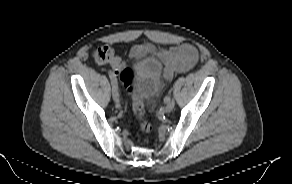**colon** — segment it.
Segmentation results:
<instances>
[{"instance_id":"1","label":"colon","mask_w":292,"mask_h":184,"mask_svg":"<svg viewBox=\"0 0 292 184\" xmlns=\"http://www.w3.org/2000/svg\"><path fill=\"white\" fill-rule=\"evenodd\" d=\"M93 57L95 61L99 64L110 63L115 58L114 51L108 46H99L93 52ZM131 75L132 70L129 68H124L120 72V79L124 86L128 89V92L132 97V106L134 113L139 121L140 130L144 133H149L152 129L151 124L144 118V107L143 102L139 97L133 92L131 87Z\"/></svg>"}]
</instances>
